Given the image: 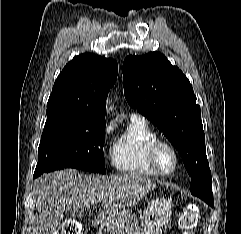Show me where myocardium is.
<instances>
[{"instance_id":"myocardium-1","label":"myocardium","mask_w":241,"mask_h":234,"mask_svg":"<svg viewBox=\"0 0 241 234\" xmlns=\"http://www.w3.org/2000/svg\"><path fill=\"white\" fill-rule=\"evenodd\" d=\"M163 150H167L173 159V165L171 169H165L161 163V152ZM149 161L152 167L160 174V175H171L173 174L177 167L179 162L178 152L176 148L169 142L164 140H156L149 148Z\"/></svg>"}]
</instances>
